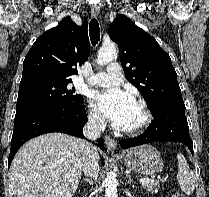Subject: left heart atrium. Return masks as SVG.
Instances as JSON below:
<instances>
[{
	"mask_svg": "<svg viewBox=\"0 0 209 197\" xmlns=\"http://www.w3.org/2000/svg\"><path fill=\"white\" fill-rule=\"evenodd\" d=\"M93 105L114 126L126 129L138 104L129 93L112 88L96 93Z\"/></svg>",
	"mask_w": 209,
	"mask_h": 197,
	"instance_id": "left-heart-atrium-1",
	"label": "left heart atrium"
}]
</instances>
